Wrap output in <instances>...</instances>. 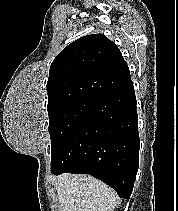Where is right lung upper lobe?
<instances>
[{
  "instance_id": "obj_1",
  "label": "right lung upper lobe",
  "mask_w": 178,
  "mask_h": 211,
  "mask_svg": "<svg viewBox=\"0 0 178 211\" xmlns=\"http://www.w3.org/2000/svg\"><path fill=\"white\" fill-rule=\"evenodd\" d=\"M130 82L129 68L115 43L103 34L87 35L53 60L47 108L77 99L99 100Z\"/></svg>"
}]
</instances>
